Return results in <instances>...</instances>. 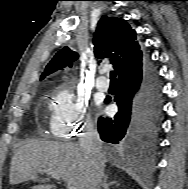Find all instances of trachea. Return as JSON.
<instances>
[{"mask_svg": "<svg viewBox=\"0 0 188 189\" xmlns=\"http://www.w3.org/2000/svg\"><path fill=\"white\" fill-rule=\"evenodd\" d=\"M110 80L111 82H116V73L114 71L110 72Z\"/></svg>", "mask_w": 188, "mask_h": 189, "instance_id": "obj_1", "label": "trachea"}]
</instances>
